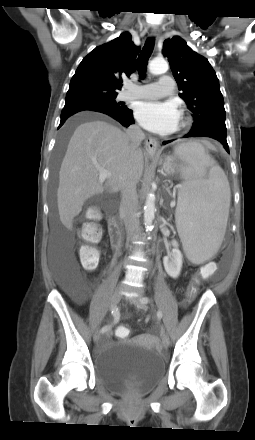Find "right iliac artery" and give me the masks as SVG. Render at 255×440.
Listing matches in <instances>:
<instances>
[{"mask_svg":"<svg viewBox=\"0 0 255 440\" xmlns=\"http://www.w3.org/2000/svg\"><path fill=\"white\" fill-rule=\"evenodd\" d=\"M111 314H112V316H113V318H114V320H113V324H116V323H118V321H119V319H120V313H119V311H118V308H116V307H114V308H112L111 309ZM110 327H111V325L110 326H104L102 329H101V333H105L106 331H108L109 329H110Z\"/></svg>","mask_w":255,"mask_h":440,"instance_id":"right-iliac-artery-1","label":"right iliac artery"}]
</instances>
